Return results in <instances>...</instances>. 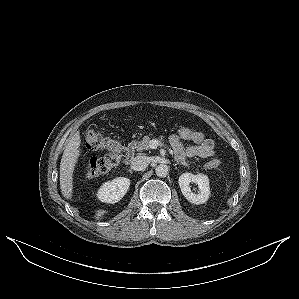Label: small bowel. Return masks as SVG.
I'll return each instance as SVG.
<instances>
[{"label":"small bowel","mask_w":299,"mask_h":299,"mask_svg":"<svg viewBox=\"0 0 299 299\" xmlns=\"http://www.w3.org/2000/svg\"><path fill=\"white\" fill-rule=\"evenodd\" d=\"M170 143L174 153L179 159H187L192 157H211L215 154L214 141L210 138L201 135L199 139L193 141V145L185 147L183 140L176 135L170 137Z\"/></svg>","instance_id":"1"}]
</instances>
